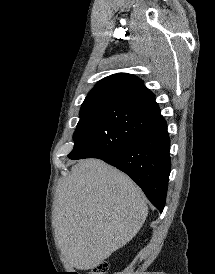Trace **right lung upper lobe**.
<instances>
[{
    "label": "right lung upper lobe",
    "mask_w": 215,
    "mask_h": 274,
    "mask_svg": "<svg viewBox=\"0 0 215 274\" xmlns=\"http://www.w3.org/2000/svg\"><path fill=\"white\" fill-rule=\"evenodd\" d=\"M93 101H114L161 115L154 94L144 86L138 77L117 73L100 80L89 92L83 103Z\"/></svg>",
    "instance_id": "obj_1"
}]
</instances>
